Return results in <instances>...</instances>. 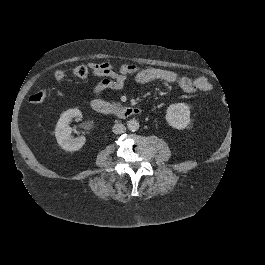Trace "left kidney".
Segmentation results:
<instances>
[{
  "mask_svg": "<svg viewBox=\"0 0 265 265\" xmlns=\"http://www.w3.org/2000/svg\"><path fill=\"white\" fill-rule=\"evenodd\" d=\"M165 121L172 129L184 130L190 127V109L184 103H175L166 110Z\"/></svg>",
  "mask_w": 265,
  "mask_h": 265,
  "instance_id": "obj_1",
  "label": "left kidney"
}]
</instances>
